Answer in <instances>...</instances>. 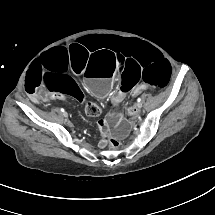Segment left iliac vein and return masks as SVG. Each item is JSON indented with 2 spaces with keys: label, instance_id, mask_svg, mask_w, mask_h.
Wrapping results in <instances>:
<instances>
[{
  "label": "left iliac vein",
  "instance_id": "4c4485c4",
  "mask_svg": "<svg viewBox=\"0 0 215 215\" xmlns=\"http://www.w3.org/2000/svg\"><path fill=\"white\" fill-rule=\"evenodd\" d=\"M137 108H138V109H140V108H141L140 104H137Z\"/></svg>",
  "mask_w": 215,
  "mask_h": 215
}]
</instances>
